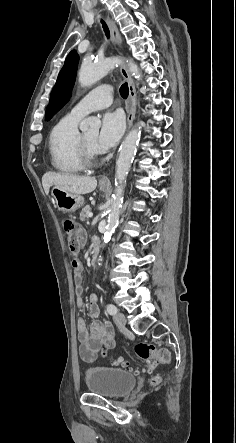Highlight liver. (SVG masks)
Here are the masks:
<instances>
[{
  "label": "liver",
  "mask_w": 236,
  "mask_h": 443,
  "mask_svg": "<svg viewBox=\"0 0 236 443\" xmlns=\"http://www.w3.org/2000/svg\"><path fill=\"white\" fill-rule=\"evenodd\" d=\"M42 185L47 195L50 187L53 185L67 192L81 195L94 191L97 186V180L95 177L90 176L46 172L42 177Z\"/></svg>",
  "instance_id": "6515ba94"
}]
</instances>
